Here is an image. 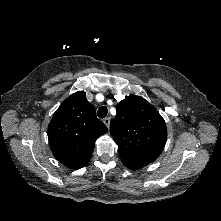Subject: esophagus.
<instances>
[{"label":"esophagus","mask_w":221,"mask_h":221,"mask_svg":"<svg viewBox=\"0 0 221 221\" xmlns=\"http://www.w3.org/2000/svg\"><path fill=\"white\" fill-rule=\"evenodd\" d=\"M110 118L109 117H107V118H105L104 120H103V123L107 126V127H109V125H110Z\"/></svg>","instance_id":"esophagus-1"}]
</instances>
